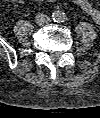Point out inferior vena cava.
<instances>
[{"instance_id":"602c4592","label":"inferior vena cava","mask_w":100,"mask_h":118,"mask_svg":"<svg viewBox=\"0 0 100 118\" xmlns=\"http://www.w3.org/2000/svg\"><path fill=\"white\" fill-rule=\"evenodd\" d=\"M49 21H50V18L46 14L38 13L35 16V22L38 25H45V24L49 23Z\"/></svg>"}]
</instances>
